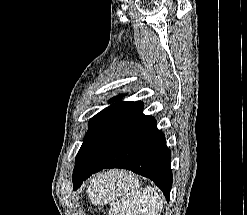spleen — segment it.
Masks as SVG:
<instances>
[{
	"instance_id": "1",
	"label": "spleen",
	"mask_w": 247,
	"mask_h": 215,
	"mask_svg": "<svg viewBox=\"0 0 247 215\" xmlns=\"http://www.w3.org/2000/svg\"><path fill=\"white\" fill-rule=\"evenodd\" d=\"M125 190L122 204L112 199L109 215H161L164 200L151 186H145L143 192L131 187Z\"/></svg>"
}]
</instances>
